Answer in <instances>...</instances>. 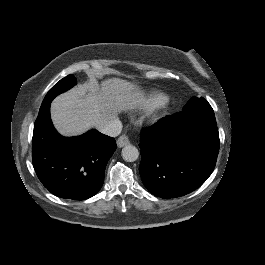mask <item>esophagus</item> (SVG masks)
I'll use <instances>...</instances> for the list:
<instances>
[{
	"label": "esophagus",
	"mask_w": 265,
	"mask_h": 265,
	"mask_svg": "<svg viewBox=\"0 0 265 265\" xmlns=\"http://www.w3.org/2000/svg\"><path fill=\"white\" fill-rule=\"evenodd\" d=\"M130 143L129 136L127 134H122L118 139H117V145L118 147H123L125 145H128Z\"/></svg>",
	"instance_id": "esophagus-1"
}]
</instances>
